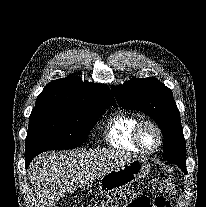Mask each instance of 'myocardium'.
Returning a JSON list of instances; mask_svg holds the SVG:
<instances>
[{"label": "myocardium", "mask_w": 206, "mask_h": 207, "mask_svg": "<svg viewBox=\"0 0 206 207\" xmlns=\"http://www.w3.org/2000/svg\"><path fill=\"white\" fill-rule=\"evenodd\" d=\"M144 126H151L157 132L158 143H157L156 147L153 148V149L146 148L142 143L141 130ZM133 141H134L135 145L139 148V150L141 152H143L145 154H154L157 151H159V149L163 145V142H164L163 131H162L161 127L155 121H152V120H149V119L140 120L134 128Z\"/></svg>", "instance_id": "1"}]
</instances>
